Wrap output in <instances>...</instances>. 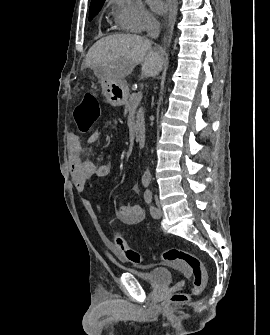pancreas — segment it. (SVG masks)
<instances>
[{
  "label": "pancreas",
  "instance_id": "pancreas-1",
  "mask_svg": "<svg viewBox=\"0 0 270 335\" xmlns=\"http://www.w3.org/2000/svg\"><path fill=\"white\" fill-rule=\"evenodd\" d=\"M132 100L133 96H129V102H125V110H129V108H136V106H133ZM135 114H137V124H142L143 116H141V112H135Z\"/></svg>",
  "mask_w": 270,
  "mask_h": 335
}]
</instances>
